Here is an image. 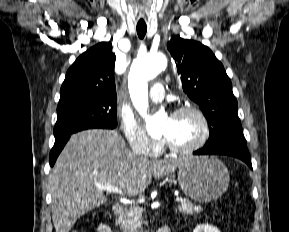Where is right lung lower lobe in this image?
Listing matches in <instances>:
<instances>
[{
	"mask_svg": "<svg viewBox=\"0 0 289 232\" xmlns=\"http://www.w3.org/2000/svg\"><path fill=\"white\" fill-rule=\"evenodd\" d=\"M70 136H71V134H68V135H65V136H62V137L55 139V143H54V146L50 152V157H49L50 166L54 165L59 153L63 149L64 145L66 144V142L68 141Z\"/></svg>",
	"mask_w": 289,
	"mask_h": 232,
	"instance_id": "obj_1",
	"label": "right lung lower lobe"
}]
</instances>
